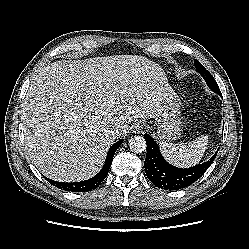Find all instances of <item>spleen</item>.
<instances>
[{
    "instance_id": "3e777b00",
    "label": "spleen",
    "mask_w": 249,
    "mask_h": 249,
    "mask_svg": "<svg viewBox=\"0 0 249 249\" xmlns=\"http://www.w3.org/2000/svg\"><path fill=\"white\" fill-rule=\"evenodd\" d=\"M208 136L202 135L188 143H161V151L168 162L179 167L196 165L202 159L207 148Z\"/></svg>"
}]
</instances>
